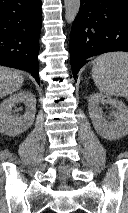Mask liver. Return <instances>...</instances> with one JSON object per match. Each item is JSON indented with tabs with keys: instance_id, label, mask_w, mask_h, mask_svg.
Listing matches in <instances>:
<instances>
[{
	"instance_id": "liver-1",
	"label": "liver",
	"mask_w": 128,
	"mask_h": 213,
	"mask_svg": "<svg viewBox=\"0 0 128 213\" xmlns=\"http://www.w3.org/2000/svg\"><path fill=\"white\" fill-rule=\"evenodd\" d=\"M24 82V77L17 70L0 66V98L19 90Z\"/></svg>"
}]
</instances>
